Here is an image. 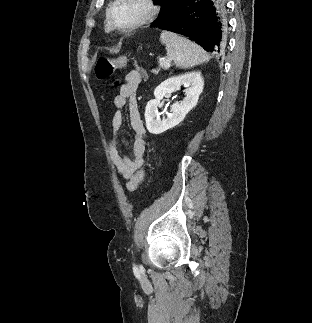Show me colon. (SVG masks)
<instances>
[{
    "label": "colon",
    "mask_w": 312,
    "mask_h": 323,
    "mask_svg": "<svg viewBox=\"0 0 312 323\" xmlns=\"http://www.w3.org/2000/svg\"><path fill=\"white\" fill-rule=\"evenodd\" d=\"M127 66V58L125 56H119L116 59H110L108 57H101L97 60L95 65V73L98 77L105 79L109 77L115 69ZM146 171L145 169L139 170L132 178L130 184H126V191H134L135 188L144 180Z\"/></svg>",
    "instance_id": "5ec220e1"
}]
</instances>
